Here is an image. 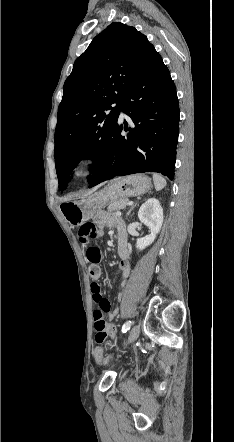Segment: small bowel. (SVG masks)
Masks as SVG:
<instances>
[{
    "instance_id": "obj_1",
    "label": "small bowel",
    "mask_w": 234,
    "mask_h": 442,
    "mask_svg": "<svg viewBox=\"0 0 234 442\" xmlns=\"http://www.w3.org/2000/svg\"><path fill=\"white\" fill-rule=\"evenodd\" d=\"M95 222L97 224V233L96 238L103 235V228L104 227H113L118 234V254L120 257V262L118 264V267L116 269V272L119 273L122 277V283L121 287L123 288L126 284V280L130 275V265L128 262L129 258V250L127 246V233H126V227L123 219L115 214H108L104 212H100L95 217ZM95 285H98L96 283H93L91 285V291ZM99 286V285H98ZM118 301H121L123 299V293L120 292L118 294ZM119 308H115L109 312V317L107 314H96L94 316V322L93 325L96 328L97 334H96V341L98 343H102L107 336L114 338L116 337V330L114 329L113 325L108 322V320H113L118 316ZM105 333V334H104ZM103 351V350H102ZM103 356V354H102ZM95 357V355H94Z\"/></svg>"
}]
</instances>
